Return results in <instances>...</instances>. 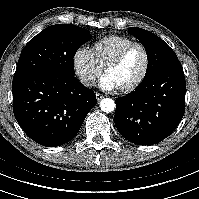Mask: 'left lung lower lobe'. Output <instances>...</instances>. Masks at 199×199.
Masks as SVG:
<instances>
[{
	"label": "left lung lower lobe",
	"mask_w": 199,
	"mask_h": 199,
	"mask_svg": "<svg viewBox=\"0 0 199 199\" xmlns=\"http://www.w3.org/2000/svg\"><path fill=\"white\" fill-rule=\"evenodd\" d=\"M186 83L179 60L143 79L131 94L117 99L115 125L128 141L159 143L173 133L185 112Z\"/></svg>",
	"instance_id": "1"
}]
</instances>
